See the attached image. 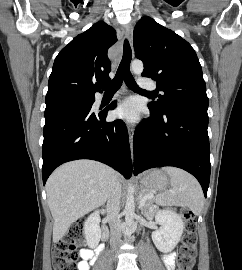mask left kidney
Returning <instances> with one entry per match:
<instances>
[{
  "label": "left kidney",
  "mask_w": 242,
  "mask_h": 270,
  "mask_svg": "<svg viewBox=\"0 0 242 270\" xmlns=\"http://www.w3.org/2000/svg\"><path fill=\"white\" fill-rule=\"evenodd\" d=\"M156 221L160 228L152 233V240L161 252H171L182 237L184 222L180 215L169 210L158 211Z\"/></svg>",
  "instance_id": "5707ae66"
}]
</instances>
